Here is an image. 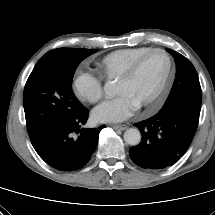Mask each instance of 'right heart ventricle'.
<instances>
[{"label": "right heart ventricle", "mask_w": 215, "mask_h": 215, "mask_svg": "<svg viewBox=\"0 0 215 215\" xmlns=\"http://www.w3.org/2000/svg\"><path fill=\"white\" fill-rule=\"evenodd\" d=\"M150 49L149 47H137L112 51L99 60L98 68L104 77L118 79L134 59Z\"/></svg>", "instance_id": "obj_1"}]
</instances>
